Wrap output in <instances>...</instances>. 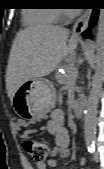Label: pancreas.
Here are the masks:
<instances>
[{
  "label": "pancreas",
  "mask_w": 104,
  "mask_h": 169,
  "mask_svg": "<svg viewBox=\"0 0 104 169\" xmlns=\"http://www.w3.org/2000/svg\"><path fill=\"white\" fill-rule=\"evenodd\" d=\"M72 67H73V66H72L71 64L65 66V69H66V71H67L69 74H71V73H70V69H71ZM57 77H58V81H59V82H64V81H66V77H64V76H62V75H60V74H57Z\"/></svg>",
  "instance_id": "pancreas-1"
}]
</instances>
